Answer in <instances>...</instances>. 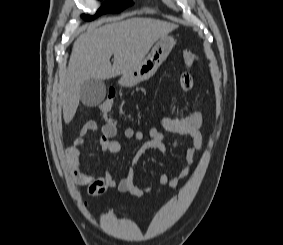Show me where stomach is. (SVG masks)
<instances>
[{"instance_id": "obj_1", "label": "stomach", "mask_w": 283, "mask_h": 245, "mask_svg": "<svg viewBox=\"0 0 283 245\" xmlns=\"http://www.w3.org/2000/svg\"><path fill=\"white\" fill-rule=\"evenodd\" d=\"M174 45L173 37L161 38L138 66L122 75L119 83L125 87H132L152 77L166 60Z\"/></svg>"}]
</instances>
